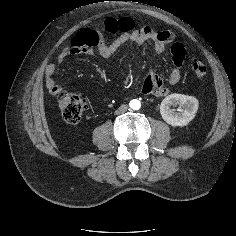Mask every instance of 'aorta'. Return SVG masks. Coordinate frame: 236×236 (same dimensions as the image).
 <instances>
[{"mask_svg": "<svg viewBox=\"0 0 236 236\" xmlns=\"http://www.w3.org/2000/svg\"><path fill=\"white\" fill-rule=\"evenodd\" d=\"M130 108H132L133 110H138L141 107V102L137 99H133L130 101Z\"/></svg>", "mask_w": 236, "mask_h": 236, "instance_id": "aorta-1", "label": "aorta"}]
</instances>
